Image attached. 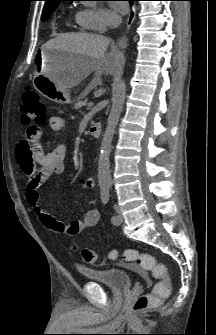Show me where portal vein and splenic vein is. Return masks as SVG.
Segmentation results:
<instances>
[{
    "mask_svg": "<svg viewBox=\"0 0 216 335\" xmlns=\"http://www.w3.org/2000/svg\"><path fill=\"white\" fill-rule=\"evenodd\" d=\"M88 106H89V107H92V106H93V102H89V103H88Z\"/></svg>",
    "mask_w": 216,
    "mask_h": 335,
    "instance_id": "obj_1",
    "label": "portal vein and splenic vein"
}]
</instances>
